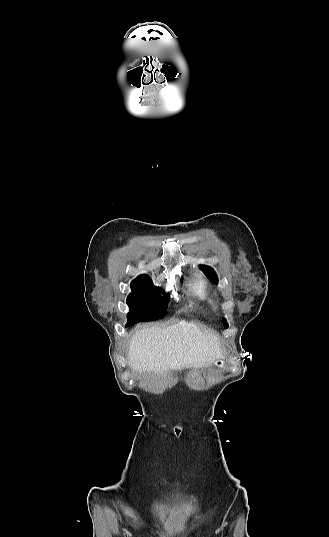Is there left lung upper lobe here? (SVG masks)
<instances>
[{
    "label": "left lung upper lobe",
    "mask_w": 329,
    "mask_h": 537,
    "mask_svg": "<svg viewBox=\"0 0 329 537\" xmlns=\"http://www.w3.org/2000/svg\"><path fill=\"white\" fill-rule=\"evenodd\" d=\"M201 268L204 270L205 274L208 276L210 280L214 282H218L217 275L211 267L207 265H202ZM224 326L225 328H228V323L226 320H224Z\"/></svg>",
    "instance_id": "5c2ea615"
}]
</instances>
